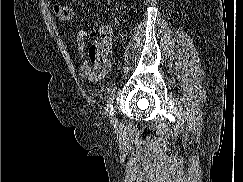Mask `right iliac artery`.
I'll return each mask as SVG.
<instances>
[{
  "label": "right iliac artery",
  "mask_w": 243,
  "mask_h": 182,
  "mask_svg": "<svg viewBox=\"0 0 243 182\" xmlns=\"http://www.w3.org/2000/svg\"><path fill=\"white\" fill-rule=\"evenodd\" d=\"M115 89H116V86L114 84V87H113L112 92H111V94L109 96L108 104H107V111L109 112L110 122H111V124L113 125L114 128L116 127V120L113 117L114 116L113 100H114V92H115Z\"/></svg>",
  "instance_id": "obj_1"
}]
</instances>
